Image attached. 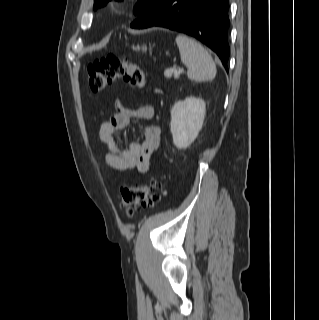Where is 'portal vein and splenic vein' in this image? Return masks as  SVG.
I'll list each match as a JSON object with an SVG mask.
<instances>
[{
  "label": "portal vein and splenic vein",
  "instance_id": "obj_1",
  "mask_svg": "<svg viewBox=\"0 0 319 320\" xmlns=\"http://www.w3.org/2000/svg\"><path fill=\"white\" fill-rule=\"evenodd\" d=\"M175 74V75H179L180 73H181V71H179V70H165V72H164V76L166 77V78H170V77H172V74Z\"/></svg>",
  "mask_w": 319,
  "mask_h": 320
}]
</instances>
